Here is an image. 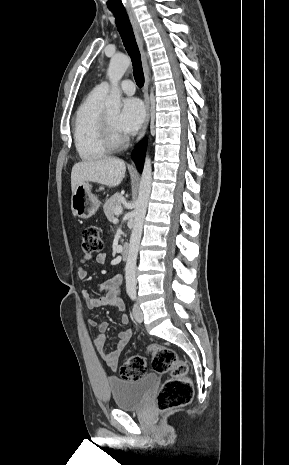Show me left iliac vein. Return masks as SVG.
Returning <instances> with one entry per match:
<instances>
[{"instance_id": "4c4485c4", "label": "left iliac vein", "mask_w": 289, "mask_h": 465, "mask_svg": "<svg viewBox=\"0 0 289 465\" xmlns=\"http://www.w3.org/2000/svg\"><path fill=\"white\" fill-rule=\"evenodd\" d=\"M133 317L138 323L143 321V312L138 303H135L133 306Z\"/></svg>"}]
</instances>
